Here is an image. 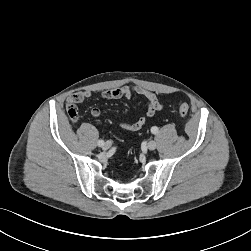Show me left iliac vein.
Masks as SVG:
<instances>
[{"mask_svg": "<svg viewBox=\"0 0 251 251\" xmlns=\"http://www.w3.org/2000/svg\"><path fill=\"white\" fill-rule=\"evenodd\" d=\"M147 147H148L149 150H155L156 147H157V144H156L155 141L150 140V141L148 142V144H147Z\"/></svg>", "mask_w": 251, "mask_h": 251, "instance_id": "4c4485c4", "label": "left iliac vein"}]
</instances>
